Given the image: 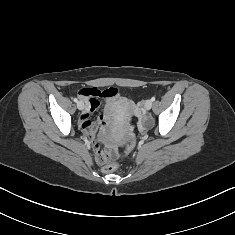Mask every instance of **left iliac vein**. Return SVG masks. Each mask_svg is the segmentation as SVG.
Returning <instances> with one entry per match:
<instances>
[{"instance_id":"4c4485c4","label":"left iliac vein","mask_w":235,"mask_h":235,"mask_svg":"<svg viewBox=\"0 0 235 235\" xmlns=\"http://www.w3.org/2000/svg\"><path fill=\"white\" fill-rule=\"evenodd\" d=\"M144 108L150 110L152 108V101L150 99L146 100L144 103Z\"/></svg>"}]
</instances>
